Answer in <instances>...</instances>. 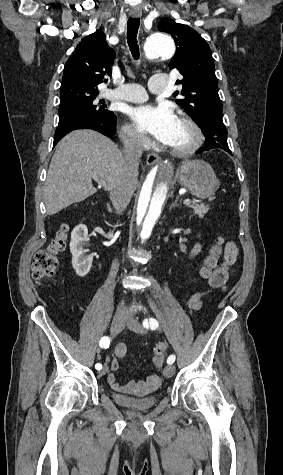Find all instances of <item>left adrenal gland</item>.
<instances>
[{"label": "left adrenal gland", "instance_id": "a2214340", "mask_svg": "<svg viewBox=\"0 0 283 475\" xmlns=\"http://www.w3.org/2000/svg\"><path fill=\"white\" fill-rule=\"evenodd\" d=\"M178 200H179V198H176L175 202H173V204H171L170 210H172V208H178V206H180V204H178Z\"/></svg>", "mask_w": 283, "mask_h": 475}]
</instances>
